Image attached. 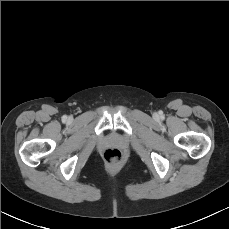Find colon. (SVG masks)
<instances>
[{
  "mask_svg": "<svg viewBox=\"0 0 229 229\" xmlns=\"http://www.w3.org/2000/svg\"><path fill=\"white\" fill-rule=\"evenodd\" d=\"M104 159L109 165H118L123 160V155L118 149H107L104 153Z\"/></svg>",
  "mask_w": 229,
  "mask_h": 229,
  "instance_id": "5ec220e1",
  "label": "colon"
}]
</instances>
